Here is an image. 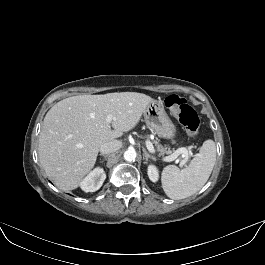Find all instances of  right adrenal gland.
I'll list each match as a JSON object with an SVG mask.
<instances>
[{"mask_svg":"<svg viewBox=\"0 0 265 265\" xmlns=\"http://www.w3.org/2000/svg\"><path fill=\"white\" fill-rule=\"evenodd\" d=\"M104 158L106 159L107 158V155H105Z\"/></svg>","mask_w":265,"mask_h":265,"instance_id":"obj_1","label":"right adrenal gland"}]
</instances>
